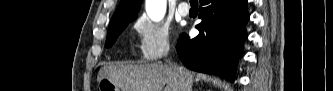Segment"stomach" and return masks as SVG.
I'll return each mask as SVG.
<instances>
[{"label":"stomach","mask_w":333,"mask_h":91,"mask_svg":"<svg viewBox=\"0 0 333 91\" xmlns=\"http://www.w3.org/2000/svg\"><path fill=\"white\" fill-rule=\"evenodd\" d=\"M98 91H120V89L109 79L103 77L98 82Z\"/></svg>","instance_id":"obj_1"}]
</instances>
